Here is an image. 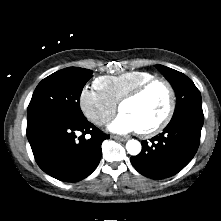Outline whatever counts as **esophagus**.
Segmentation results:
<instances>
[{
  "label": "esophagus",
  "instance_id": "obj_1",
  "mask_svg": "<svg viewBox=\"0 0 221 221\" xmlns=\"http://www.w3.org/2000/svg\"><path fill=\"white\" fill-rule=\"evenodd\" d=\"M112 138L117 140V141H121V142L127 141V138H122V137H119V136H113Z\"/></svg>",
  "mask_w": 221,
  "mask_h": 221
}]
</instances>
